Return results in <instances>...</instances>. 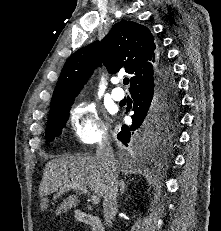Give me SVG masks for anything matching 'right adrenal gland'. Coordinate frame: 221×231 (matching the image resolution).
Masks as SVG:
<instances>
[{
	"mask_svg": "<svg viewBox=\"0 0 221 231\" xmlns=\"http://www.w3.org/2000/svg\"><path fill=\"white\" fill-rule=\"evenodd\" d=\"M119 186H120V195H123L127 188L124 180H120Z\"/></svg>",
	"mask_w": 221,
	"mask_h": 231,
	"instance_id": "obj_1",
	"label": "right adrenal gland"
}]
</instances>
